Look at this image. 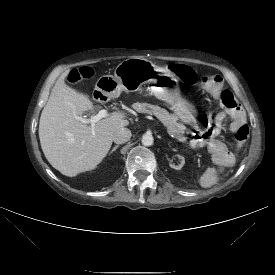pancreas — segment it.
<instances>
[{
    "instance_id": "obj_1",
    "label": "pancreas",
    "mask_w": 275,
    "mask_h": 275,
    "mask_svg": "<svg viewBox=\"0 0 275 275\" xmlns=\"http://www.w3.org/2000/svg\"><path fill=\"white\" fill-rule=\"evenodd\" d=\"M133 108L138 113L153 114L167 127L168 133L181 142H185V128L182 124L176 121V118L169 112L159 106L148 103H135Z\"/></svg>"
}]
</instances>
